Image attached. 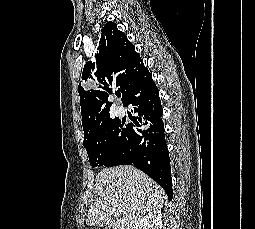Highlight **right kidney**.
<instances>
[{"instance_id": "obj_1", "label": "right kidney", "mask_w": 255, "mask_h": 229, "mask_svg": "<svg viewBox=\"0 0 255 229\" xmlns=\"http://www.w3.org/2000/svg\"><path fill=\"white\" fill-rule=\"evenodd\" d=\"M135 229H162V213L156 209L149 212L135 226Z\"/></svg>"}]
</instances>
